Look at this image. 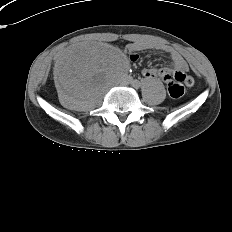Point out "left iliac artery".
<instances>
[{"label": "left iliac artery", "instance_id": "1", "mask_svg": "<svg viewBox=\"0 0 232 232\" xmlns=\"http://www.w3.org/2000/svg\"><path fill=\"white\" fill-rule=\"evenodd\" d=\"M131 82L133 87L136 89H138L141 86V83L138 80H134V81L131 80Z\"/></svg>", "mask_w": 232, "mask_h": 232}]
</instances>
